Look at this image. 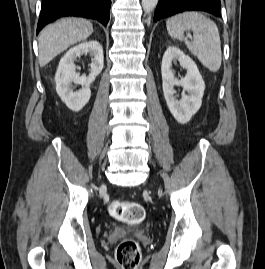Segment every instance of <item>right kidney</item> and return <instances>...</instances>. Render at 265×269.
I'll return each mask as SVG.
<instances>
[{"instance_id": "1", "label": "right kidney", "mask_w": 265, "mask_h": 269, "mask_svg": "<svg viewBox=\"0 0 265 269\" xmlns=\"http://www.w3.org/2000/svg\"><path fill=\"white\" fill-rule=\"evenodd\" d=\"M84 54L92 57L88 77H80L74 64L77 57ZM103 63V48L97 41L81 43L69 49L62 57L55 75L56 91L69 109L78 112L88 103L91 97L90 85L102 71ZM72 83L80 84L82 88L74 92Z\"/></svg>"}]
</instances>
